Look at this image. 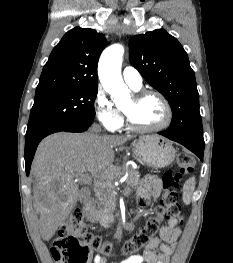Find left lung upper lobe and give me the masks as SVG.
Returning a JSON list of instances; mask_svg holds the SVG:
<instances>
[{
  "label": "left lung upper lobe",
  "instance_id": "left-lung-upper-lobe-1",
  "mask_svg": "<svg viewBox=\"0 0 233 263\" xmlns=\"http://www.w3.org/2000/svg\"><path fill=\"white\" fill-rule=\"evenodd\" d=\"M129 45L131 64L170 103L173 119L166 132L205 145L195 74L182 45L164 29L136 35Z\"/></svg>",
  "mask_w": 233,
  "mask_h": 263
}]
</instances>
